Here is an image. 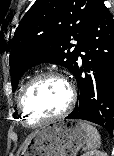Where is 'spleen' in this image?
<instances>
[{
  "instance_id": "1",
  "label": "spleen",
  "mask_w": 114,
  "mask_h": 156,
  "mask_svg": "<svg viewBox=\"0 0 114 156\" xmlns=\"http://www.w3.org/2000/svg\"><path fill=\"white\" fill-rule=\"evenodd\" d=\"M83 127L85 128L88 137L86 149L94 150L96 148H100L101 138L97 129L86 122H83Z\"/></svg>"
}]
</instances>
